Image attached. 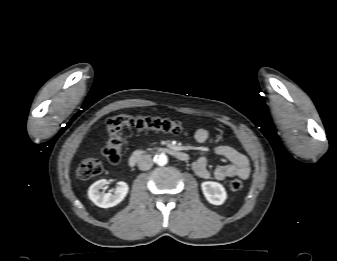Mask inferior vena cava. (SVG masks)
Instances as JSON below:
<instances>
[{"mask_svg":"<svg viewBox=\"0 0 337 261\" xmlns=\"http://www.w3.org/2000/svg\"><path fill=\"white\" fill-rule=\"evenodd\" d=\"M153 165V160L150 155H142L138 160V168L142 171L149 170Z\"/></svg>","mask_w":337,"mask_h":261,"instance_id":"obj_1","label":"inferior vena cava"}]
</instances>
